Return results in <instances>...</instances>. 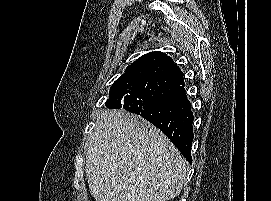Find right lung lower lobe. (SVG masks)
I'll use <instances>...</instances> for the list:
<instances>
[{"mask_svg":"<svg viewBox=\"0 0 271 201\" xmlns=\"http://www.w3.org/2000/svg\"><path fill=\"white\" fill-rule=\"evenodd\" d=\"M145 89L122 101L120 108L139 114L158 127L191 164L193 113L187 99L182 71L169 56L150 70Z\"/></svg>","mask_w":271,"mask_h":201,"instance_id":"obj_1","label":"right lung lower lobe"}]
</instances>
